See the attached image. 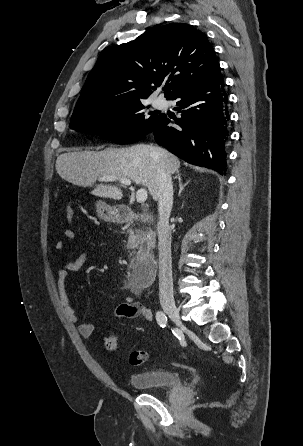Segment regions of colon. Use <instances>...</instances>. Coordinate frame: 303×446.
Here are the masks:
<instances>
[{
  "label": "colon",
  "mask_w": 303,
  "mask_h": 446,
  "mask_svg": "<svg viewBox=\"0 0 303 446\" xmlns=\"http://www.w3.org/2000/svg\"><path fill=\"white\" fill-rule=\"evenodd\" d=\"M66 218L68 222L73 220V209L71 207H67L65 210ZM104 345L108 350H115L118 345V339L113 333H107L103 336ZM147 359V353L143 350H133L129 354V362L132 365H141Z\"/></svg>",
  "instance_id": "colon-1"
}]
</instances>
